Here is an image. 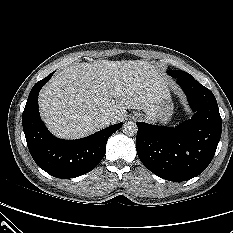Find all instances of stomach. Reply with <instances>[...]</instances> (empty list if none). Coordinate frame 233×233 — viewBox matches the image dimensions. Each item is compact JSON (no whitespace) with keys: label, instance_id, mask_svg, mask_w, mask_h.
Masks as SVG:
<instances>
[{"label":"stomach","instance_id":"stomach-1","mask_svg":"<svg viewBox=\"0 0 233 233\" xmlns=\"http://www.w3.org/2000/svg\"><path fill=\"white\" fill-rule=\"evenodd\" d=\"M173 114V103L169 92L159 101L156 111V120L159 123L167 124Z\"/></svg>","mask_w":233,"mask_h":233}]
</instances>
